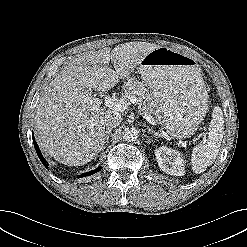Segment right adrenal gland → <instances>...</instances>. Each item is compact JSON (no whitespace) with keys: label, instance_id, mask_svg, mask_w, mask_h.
I'll list each match as a JSON object with an SVG mask.
<instances>
[{"label":"right adrenal gland","instance_id":"1","mask_svg":"<svg viewBox=\"0 0 247 247\" xmlns=\"http://www.w3.org/2000/svg\"><path fill=\"white\" fill-rule=\"evenodd\" d=\"M112 131V128H109L108 130L105 131V137H104V146L103 148L106 147V145L109 143V135Z\"/></svg>","mask_w":247,"mask_h":247}]
</instances>
